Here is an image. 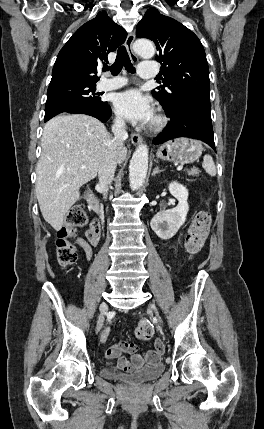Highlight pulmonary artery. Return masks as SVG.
I'll return each mask as SVG.
<instances>
[{
  "label": "pulmonary artery",
  "instance_id": "e3ab8cb5",
  "mask_svg": "<svg viewBox=\"0 0 264 429\" xmlns=\"http://www.w3.org/2000/svg\"><path fill=\"white\" fill-rule=\"evenodd\" d=\"M138 72L140 77L144 79H150L157 76L159 70L158 66L151 61L142 62L139 65ZM127 80L122 77H116L112 79H103L98 83V89L101 91L115 90L126 85Z\"/></svg>",
  "mask_w": 264,
  "mask_h": 429
}]
</instances>
